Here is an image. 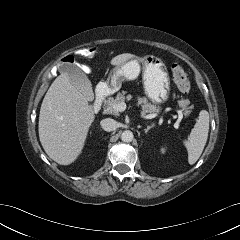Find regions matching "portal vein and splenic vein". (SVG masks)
<instances>
[{"label": "portal vein and splenic vein", "mask_w": 240, "mask_h": 240, "mask_svg": "<svg viewBox=\"0 0 240 240\" xmlns=\"http://www.w3.org/2000/svg\"><path fill=\"white\" fill-rule=\"evenodd\" d=\"M126 107H127V106H126V103H125V102H121V103H119V104H117V105L114 106V108H115L117 111H119V112H122V111L126 110ZM177 113H178L179 119L181 120V119L183 118V113H182V111H181V110H177ZM140 116H141V118H144V119H152V118H154L156 115H154V114H148V115H143V114H141Z\"/></svg>", "instance_id": "1"}]
</instances>
